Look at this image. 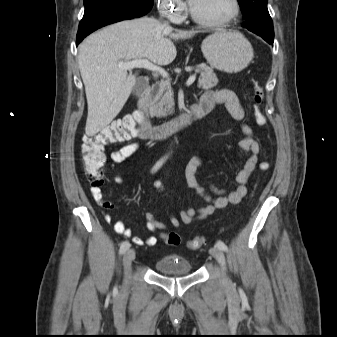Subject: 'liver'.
Returning <instances> with one entry per match:
<instances>
[{
	"label": "liver",
	"mask_w": 337,
	"mask_h": 337,
	"mask_svg": "<svg viewBox=\"0 0 337 337\" xmlns=\"http://www.w3.org/2000/svg\"><path fill=\"white\" fill-rule=\"evenodd\" d=\"M193 35L173 32L154 18L142 17L115 23L87 37L78 56L88 103L86 135L94 136L112 122L136 84V75L119 68V62L147 58L168 65L177 55L172 39Z\"/></svg>",
	"instance_id": "obj_1"
}]
</instances>
